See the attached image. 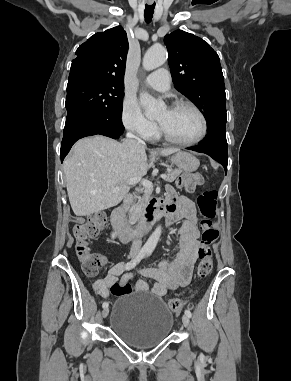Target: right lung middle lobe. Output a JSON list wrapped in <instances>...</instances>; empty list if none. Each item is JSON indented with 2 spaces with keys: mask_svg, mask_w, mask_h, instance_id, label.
<instances>
[{
  "mask_svg": "<svg viewBox=\"0 0 291 381\" xmlns=\"http://www.w3.org/2000/svg\"><path fill=\"white\" fill-rule=\"evenodd\" d=\"M124 86L99 84L85 80L68 82L65 107L67 118L76 116L87 124L121 120Z\"/></svg>",
  "mask_w": 291,
  "mask_h": 381,
  "instance_id": "obj_1",
  "label": "right lung middle lobe"
}]
</instances>
